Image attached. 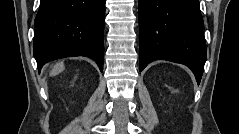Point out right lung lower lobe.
<instances>
[{
    "instance_id": "obj_1",
    "label": "right lung lower lobe",
    "mask_w": 239,
    "mask_h": 134,
    "mask_svg": "<svg viewBox=\"0 0 239 134\" xmlns=\"http://www.w3.org/2000/svg\"><path fill=\"white\" fill-rule=\"evenodd\" d=\"M105 0H41L33 53L38 69L52 60L87 56L103 70Z\"/></svg>"
}]
</instances>
